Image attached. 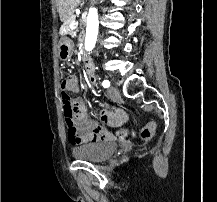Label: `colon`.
Returning a JSON list of instances; mask_svg holds the SVG:
<instances>
[{
  "mask_svg": "<svg viewBox=\"0 0 217 202\" xmlns=\"http://www.w3.org/2000/svg\"><path fill=\"white\" fill-rule=\"evenodd\" d=\"M75 82L76 79L72 77L63 78V80L60 82L63 114H64V121H65V126L67 128V131H77L74 124L72 110L70 107V94H69V91L75 88L74 86ZM148 126L149 127H143V131H139L137 134L141 136L144 140L151 141L152 135L155 134L154 131L155 130L154 128L156 127L155 121H150Z\"/></svg>",
  "mask_w": 217,
  "mask_h": 202,
  "instance_id": "5ec220e1",
  "label": "colon"
}]
</instances>
